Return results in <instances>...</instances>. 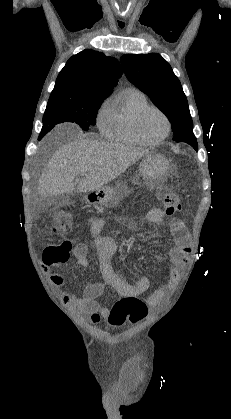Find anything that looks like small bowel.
Here are the masks:
<instances>
[{
	"label": "small bowel",
	"mask_w": 231,
	"mask_h": 419,
	"mask_svg": "<svg viewBox=\"0 0 231 419\" xmlns=\"http://www.w3.org/2000/svg\"><path fill=\"white\" fill-rule=\"evenodd\" d=\"M164 214L161 209L153 208L144 217V222L150 225H158L162 222ZM104 221L99 218H92L89 221L90 231L94 238V246L99 261L100 271L103 277L101 282L89 283L83 289L81 296L70 292H64L61 296L62 302L74 310L90 315L93 322H98L100 317L107 318L110 309L98 302L105 286L112 287L121 297H138L150 289V281L146 276H140L134 281H129L119 275L111 264V258L116 250L115 239L111 236H102L101 231ZM171 232L174 236V246L170 251L169 260L171 266L168 270L169 283L156 287L145 297L144 303L147 311L155 308L163 300L179 277V271L186 263L191 248L190 238L184 223L180 220L173 222ZM150 237H147L149 239ZM75 264L80 267H87L88 246L77 244L73 250ZM47 269L50 267L47 266ZM49 280L55 287H62L65 283L61 274H49Z\"/></svg>",
	"instance_id": "small-bowel-1"
}]
</instances>
